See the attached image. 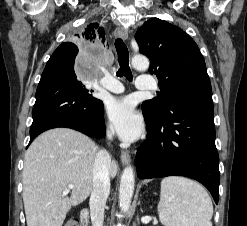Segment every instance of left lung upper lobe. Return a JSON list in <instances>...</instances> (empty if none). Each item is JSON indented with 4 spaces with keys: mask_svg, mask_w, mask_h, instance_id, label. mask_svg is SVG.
Listing matches in <instances>:
<instances>
[{
    "mask_svg": "<svg viewBox=\"0 0 247 226\" xmlns=\"http://www.w3.org/2000/svg\"><path fill=\"white\" fill-rule=\"evenodd\" d=\"M140 52L150 59L149 72L159 79L158 97L142 103L143 115L158 120L174 104L190 96L210 95L204 58L193 39L180 28L158 18L136 32Z\"/></svg>",
    "mask_w": 247,
    "mask_h": 226,
    "instance_id": "5c2ea615",
    "label": "left lung upper lobe"
}]
</instances>
